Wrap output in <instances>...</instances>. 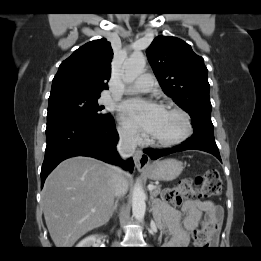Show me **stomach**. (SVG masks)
Masks as SVG:
<instances>
[{
	"label": "stomach",
	"instance_id": "obj_1",
	"mask_svg": "<svg viewBox=\"0 0 261 261\" xmlns=\"http://www.w3.org/2000/svg\"><path fill=\"white\" fill-rule=\"evenodd\" d=\"M183 171V163L170 158L153 162L145 169L147 176L153 180H173Z\"/></svg>",
	"mask_w": 261,
	"mask_h": 261
}]
</instances>
